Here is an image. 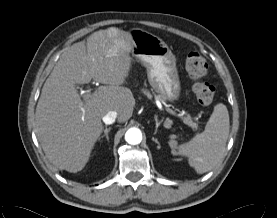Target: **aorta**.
<instances>
[{
    "label": "aorta",
    "instance_id": "1",
    "mask_svg": "<svg viewBox=\"0 0 277 218\" xmlns=\"http://www.w3.org/2000/svg\"><path fill=\"white\" fill-rule=\"evenodd\" d=\"M125 140L131 145H137L142 141V133L140 129L132 127L125 133Z\"/></svg>",
    "mask_w": 277,
    "mask_h": 218
}]
</instances>
